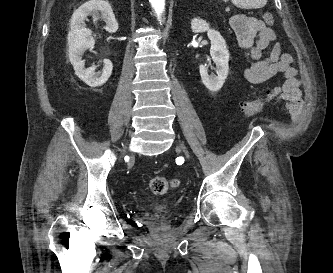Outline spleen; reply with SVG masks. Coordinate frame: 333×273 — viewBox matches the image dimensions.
Listing matches in <instances>:
<instances>
[{
	"label": "spleen",
	"instance_id": "spleen-1",
	"mask_svg": "<svg viewBox=\"0 0 333 273\" xmlns=\"http://www.w3.org/2000/svg\"><path fill=\"white\" fill-rule=\"evenodd\" d=\"M231 2L238 8L256 9L266 5L267 0H231Z\"/></svg>",
	"mask_w": 333,
	"mask_h": 273
}]
</instances>
